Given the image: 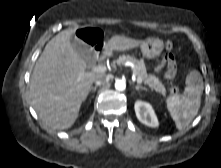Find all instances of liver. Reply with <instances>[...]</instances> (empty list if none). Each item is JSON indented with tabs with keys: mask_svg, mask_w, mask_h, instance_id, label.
<instances>
[{
	"mask_svg": "<svg viewBox=\"0 0 221 168\" xmlns=\"http://www.w3.org/2000/svg\"><path fill=\"white\" fill-rule=\"evenodd\" d=\"M75 31L63 30L46 44L30 80L31 104L39 118L52 129H68L75 123L93 82L97 76L105 75L86 70V62L71 45ZM142 42L114 35L107 49L123 52Z\"/></svg>",
	"mask_w": 221,
	"mask_h": 168,
	"instance_id": "6515ba94",
	"label": "liver"
}]
</instances>
